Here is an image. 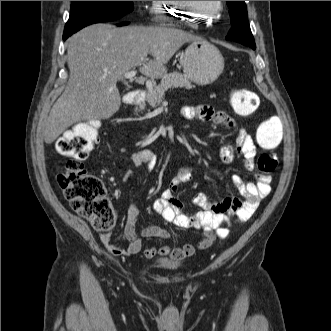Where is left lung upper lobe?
<instances>
[{
  "instance_id": "obj_1",
  "label": "left lung upper lobe",
  "mask_w": 331,
  "mask_h": 331,
  "mask_svg": "<svg viewBox=\"0 0 331 331\" xmlns=\"http://www.w3.org/2000/svg\"><path fill=\"white\" fill-rule=\"evenodd\" d=\"M232 28L226 36L227 40L236 41L254 47L255 42L248 23L245 1H227Z\"/></svg>"
}]
</instances>
